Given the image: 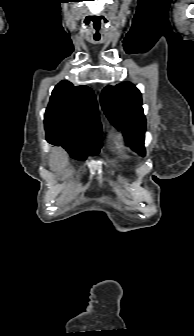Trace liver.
<instances>
[{
	"instance_id": "6515ba94",
	"label": "liver",
	"mask_w": 194,
	"mask_h": 336,
	"mask_svg": "<svg viewBox=\"0 0 194 336\" xmlns=\"http://www.w3.org/2000/svg\"><path fill=\"white\" fill-rule=\"evenodd\" d=\"M68 164V156L61 149H54L49 157V165L53 171L63 170ZM70 170H65L62 179L67 178L70 175Z\"/></svg>"
}]
</instances>
